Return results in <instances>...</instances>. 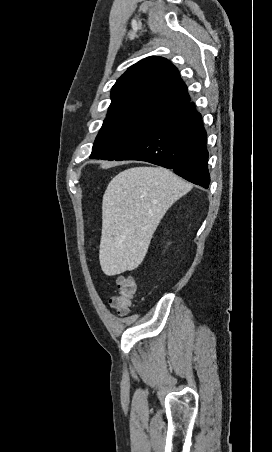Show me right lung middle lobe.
I'll return each mask as SVG.
<instances>
[{"instance_id":"dd1d6c3e","label":"right lung middle lobe","mask_w":272,"mask_h":452,"mask_svg":"<svg viewBox=\"0 0 272 452\" xmlns=\"http://www.w3.org/2000/svg\"><path fill=\"white\" fill-rule=\"evenodd\" d=\"M159 116L160 114L151 112H126L106 117L90 158L115 160L130 148Z\"/></svg>"}]
</instances>
